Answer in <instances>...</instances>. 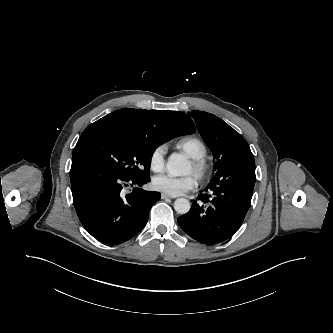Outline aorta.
<instances>
[{
  "label": "aorta",
  "mask_w": 333,
  "mask_h": 333,
  "mask_svg": "<svg viewBox=\"0 0 333 333\" xmlns=\"http://www.w3.org/2000/svg\"><path fill=\"white\" fill-rule=\"evenodd\" d=\"M167 171L172 176H184L188 171V162L180 154L173 153L168 158L166 164ZM190 202L184 198H178L174 202V209L179 214H186L190 210Z\"/></svg>",
  "instance_id": "1"
}]
</instances>
